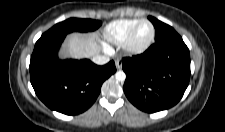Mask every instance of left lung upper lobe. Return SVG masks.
<instances>
[{"label": "left lung upper lobe", "instance_id": "obj_1", "mask_svg": "<svg viewBox=\"0 0 225 132\" xmlns=\"http://www.w3.org/2000/svg\"><path fill=\"white\" fill-rule=\"evenodd\" d=\"M154 27L156 31L155 42L178 35V33L171 26L163 22H160L159 24L154 25Z\"/></svg>", "mask_w": 225, "mask_h": 132}]
</instances>
